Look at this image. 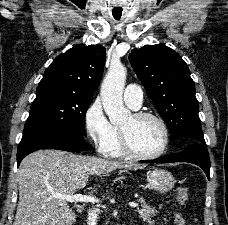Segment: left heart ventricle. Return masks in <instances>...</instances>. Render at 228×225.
<instances>
[{
  "label": "left heart ventricle",
  "mask_w": 228,
  "mask_h": 225,
  "mask_svg": "<svg viewBox=\"0 0 228 225\" xmlns=\"http://www.w3.org/2000/svg\"><path fill=\"white\" fill-rule=\"evenodd\" d=\"M122 129L128 134L133 147L141 154H155L164 144L163 128L152 118L137 120L132 115Z\"/></svg>",
  "instance_id": "left-heart-ventricle-1"
}]
</instances>
